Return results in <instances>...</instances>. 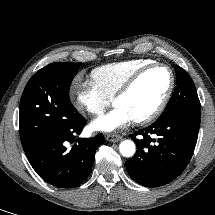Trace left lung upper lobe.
Masks as SVG:
<instances>
[{
	"label": "left lung upper lobe",
	"mask_w": 215,
	"mask_h": 215,
	"mask_svg": "<svg viewBox=\"0 0 215 215\" xmlns=\"http://www.w3.org/2000/svg\"><path fill=\"white\" fill-rule=\"evenodd\" d=\"M175 70L177 86L160 117L173 114L200 117L201 105L191 77L179 66H175Z\"/></svg>",
	"instance_id": "5c2ea615"
}]
</instances>
